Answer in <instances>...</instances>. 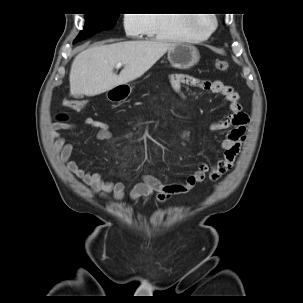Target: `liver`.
Wrapping results in <instances>:
<instances>
[{
	"label": "liver",
	"instance_id": "6515ba94",
	"mask_svg": "<svg viewBox=\"0 0 303 303\" xmlns=\"http://www.w3.org/2000/svg\"><path fill=\"white\" fill-rule=\"evenodd\" d=\"M173 45L168 41L144 40L86 49L72 62L70 95L95 96L133 81L147 72ZM118 63L124 64L119 75L113 71Z\"/></svg>",
	"mask_w": 303,
	"mask_h": 303
}]
</instances>
